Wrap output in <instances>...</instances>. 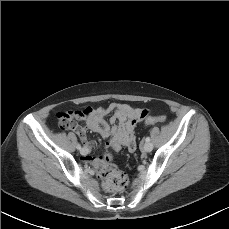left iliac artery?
<instances>
[{
    "label": "left iliac artery",
    "mask_w": 229,
    "mask_h": 229,
    "mask_svg": "<svg viewBox=\"0 0 229 229\" xmlns=\"http://www.w3.org/2000/svg\"><path fill=\"white\" fill-rule=\"evenodd\" d=\"M145 141H146V142H149V141H150V137H146V138H145Z\"/></svg>",
    "instance_id": "44dca946"
}]
</instances>
